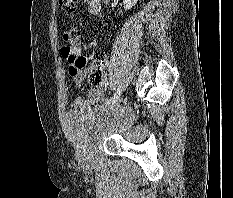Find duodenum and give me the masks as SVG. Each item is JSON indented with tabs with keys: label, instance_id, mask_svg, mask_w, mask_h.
Instances as JSON below:
<instances>
[{
	"label": "duodenum",
	"instance_id": "duodenum-1",
	"mask_svg": "<svg viewBox=\"0 0 233 198\" xmlns=\"http://www.w3.org/2000/svg\"><path fill=\"white\" fill-rule=\"evenodd\" d=\"M101 9V2L100 0H91L89 3V12L91 14L97 15L99 14Z\"/></svg>",
	"mask_w": 233,
	"mask_h": 198
}]
</instances>
